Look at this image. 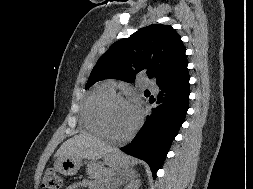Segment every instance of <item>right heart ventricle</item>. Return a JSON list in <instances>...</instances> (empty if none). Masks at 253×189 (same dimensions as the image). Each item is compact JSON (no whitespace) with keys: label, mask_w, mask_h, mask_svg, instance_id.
<instances>
[{"label":"right heart ventricle","mask_w":253,"mask_h":189,"mask_svg":"<svg viewBox=\"0 0 253 189\" xmlns=\"http://www.w3.org/2000/svg\"><path fill=\"white\" fill-rule=\"evenodd\" d=\"M114 94V90L108 83L98 85L87 96L81 109V122L86 130L96 135H104L97 117L99 104L106 97Z\"/></svg>","instance_id":"e07e8e85"}]
</instances>
